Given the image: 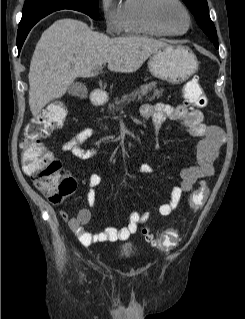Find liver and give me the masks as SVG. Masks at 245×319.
I'll return each mask as SVG.
<instances>
[{"label": "liver", "mask_w": 245, "mask_h": 319, "mask_svg": "<svg viewBox=\"0 0 245 319\" xmlns=\"http://www.w3.org/2000/svg\"><path fill=\"white\" fill-rule=\"evenodd\" d=\"M165 46L163 41L144 36L109 38L82 21L59 19L42 33L31 59V113L37 116L46 104L61 98L77 77H93L106 63L113 72H135Z\"/></svg>", "instance_id": "liver-1"}]
</instances>
